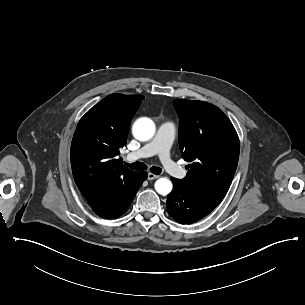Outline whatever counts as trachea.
<instances>
[{"instance_id":"1","label":"trachea","mask_w":305,"mask_h":305,"mask_svg":"<svg viewBox=\"0 0 305 305\" xmlns=\"http://www.w3.org/2000/svg\"><path fill=\"white\" fill-rule=\"evenodd\" d=\"M125 166H127L133 170H139V171H144V170L148 169L147 165L144 164L143 162H134L132 164L125 163ZM149 170L151 173H153L155 175H159L162 172V169L160 167H156V166L151 167Z\"/></svg>"}]
</instances>
